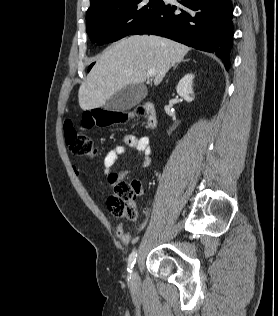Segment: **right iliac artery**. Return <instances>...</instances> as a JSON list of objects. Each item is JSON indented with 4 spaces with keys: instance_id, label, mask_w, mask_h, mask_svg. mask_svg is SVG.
Here are the masks:
<instances>
[{
    "instance_id": "right-iliac-artery-1",
    "label": "right iliac artery",
    "mask_w": 278,
    "mask_h": 316,
    "mask_svg": "<svg viewBox=\"0 0 278 316\" xmlns=\"http://www.w3.org/2000/svg\"><path fill=\"white\" fill-rule=\"evenodd\" d=\"M136 257H137V251L134 250L128 258V268H127L128 272L132 271V268L136 262Z\"/></svg>"
}]
</instances>
